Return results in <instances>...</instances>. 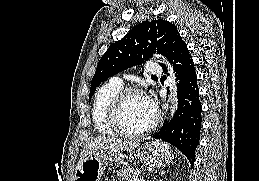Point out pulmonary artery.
Listing matches in <instances>:
<instances>
[{
	"label": "pulmonary artery",
	"mask_w": 259,
	"mask_h": 181,
	"mask_svg": "<svg viewBox=\"0 0 259 181\" xmlns=\"http://www.w3.org/2000/svg\"><path fill=\"white\" fill-rule=\"evenodd\" d=\"M161 71H162V68L159 65H156V64H152L151 63L147 67V73L148 74L154 75V74L161 73ZM112 81L115 82L116 84H119V85L123 84L122 80L120 78H118V77H114L112 79Z\"/></svg>",
	"instance_id": "obj_1"
}]
</instances>
